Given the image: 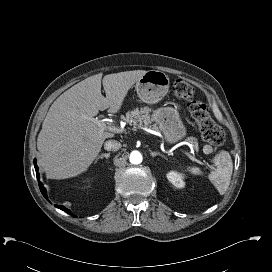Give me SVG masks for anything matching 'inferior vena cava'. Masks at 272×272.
Wrapping results in <instances>:
<instances>
[{"label":"inferior vena cava","mask_w":272,"mask_h":272,"mask_svg":"<svg viewBox=\"0 0 272 272\" xmlns=\"http://www.w3.org/2000/svg\"><path fill=\"white\" fill-rule=\"evenodd\" d=\"M121 148L120 142L116 140L106 141L104 144V149L107 151H117Z\"/></svg>","instance_id":"inferior-vena-cava-1"}]
</instances>
